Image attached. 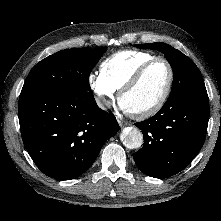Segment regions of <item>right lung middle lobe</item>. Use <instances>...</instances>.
<instances>
[{"label": "right lung middle lobe", "mask_w": 221, "mask_h": 221, "mask_svg": "<svg viewBox=\"0 0 221 221\" xmlns=\"http://www.w3.org/2000/svg\"><path fill=\"white\" fill-rule=\"evenodd\" d=\"M106 50L72 48L48 56L31 69L20 98L91 93L89 75Z\"/></svg>", "instance_id": "dd1d6c3e"}]
</instances>
